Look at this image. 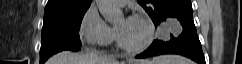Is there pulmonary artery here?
<instances>
[{
    "label": "pulmonary artery",
    "mask_w": 242,
    "mask_h": 64,
    "mask_svg": "<svg viewBox=\"0 0 242 64\" xmlns=\"http://www.w3.org/2000/svg\"><path fill=\"white\" fill-rule=\"evenodd\" d=\"M128 0H115V3L119 6H124L126 5Z\"/></svg>",
    "instance_id": "pulmonary-artery-1"
}]
</instances>
